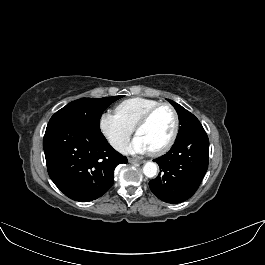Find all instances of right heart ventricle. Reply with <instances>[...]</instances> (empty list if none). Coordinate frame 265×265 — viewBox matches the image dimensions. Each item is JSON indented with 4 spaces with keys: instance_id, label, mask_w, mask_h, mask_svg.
<instances>
[{
    "instance_id": "e07e8e85",
    "label": "right heart ventricle",
    "mask_w": 265,
    "mask_h": 265,
    "mask_svg": "<svg viewBox=\"0 0 265 265\" xmlns=\"http://www.w3.org/2000/svg\"><path fill=\"white\" fill-rule=\"evenodd\" d=\"M159 101L143 97L126 99L115 106V114L128 126L134 128L139 118Z\"/></svg>"
}]
</instances>
